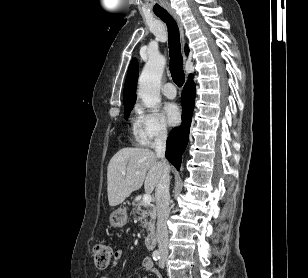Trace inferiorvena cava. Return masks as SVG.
<instances>
[{"instance_id": "602c4592", "label": "inferior vena cava", "mask_w": 308, "mask_h": 278, "mask_svg": "<svg viewBox=\"0 0 308 278\" xmlns=\"http://www.w3.org/2000/svg\"><path fill=\"white\" fill-rule=\"evenodd\" d=\"M167 131L161 129L155 137L154 148L156 156L161 159L163 163V173L161 178L156 185L155 189V200L157 209V242L160 253L168 254V230L167 220L169 217V186H170V175L169 165L165 161V150H166Z\"/></svg>"}]
</instances>
